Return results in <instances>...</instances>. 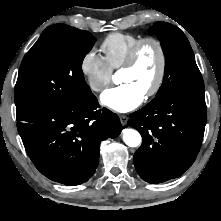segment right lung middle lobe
I'll return each instance as SVG.
<instances>
[{"mask_svg": "<svg viewBox=\"0 0 221 221\" xmlns=\"http://www.w3.org/2000/svg\"><path fill=\"white\" fill-rule=\"evenodd\" d=\"M94 43L87 31L45 29L19 69L14 96L17 120L66 108L87 97L91 90L84 80L82 62Z\"/></svg>", "mask_w": 221, "mask_h": 221, "instance_id": "right-lung-middle-lobe-1", "label": "right lung middle lobe"}]
</instances>
